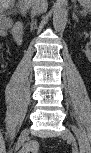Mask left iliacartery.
<instances>
[{"label":"left iliac artery","instance_id":"left-iliac-artery-1","mask_svg":"<svg viewBox=\"0 0 91 153\" xmlns=\"http://www.w3.org/2000/svg\"><path fill=\"white\" fill-rule=\"evenodd\" d=\"M73 146H74V149H77V143H73Z\"/></svg>","mask_w":91,"mask_h":153}]
</instances>
